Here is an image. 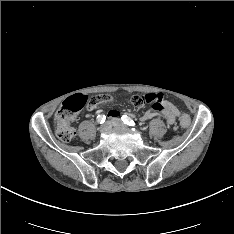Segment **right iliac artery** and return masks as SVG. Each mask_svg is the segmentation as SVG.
<instances>
[{
	"mask_svg": "<svg viewBox=\"0 0 234 234\" xmlns=\"http://www.w3.org/2000/svg\"><path fill=\"white\" fill-rule=\"evenodd\" d=\"M105 119H106L105 115L101 114V115L97 116V122L100 123V124L104 123Z\"/></svg>",
	"mask_w": 234,
	"mask_h": 234,
	"instance_id": "right-iliac-artery-1",
	"label": "right iliac artery"
}]
</instances>
